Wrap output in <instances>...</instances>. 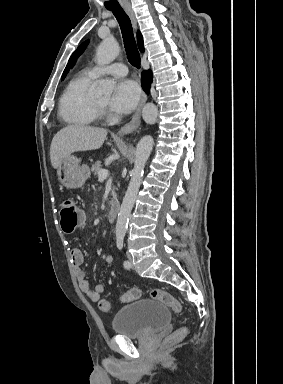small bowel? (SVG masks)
Returning a JSON list of instances; mask_svg holds the SVG:
<instances>
[{
	"label": "small bowel",
	"mask_w": 283,
	"mask_h": 384,
	"mask_svg": "<svg viewBox=\"0 0 283 384\" xmlns=\"http://www.w3.org/2000/svg\"><path fill=\"white\" fill-rule=\"evenodd\" d=\"M70 260L74 267L75 276L79 285L80 290L85 294L88 300L97 302L100 298L101 293L105 290V284L99 283L94 288L90 287V284L86 278V274L81 268L84 262V256L79 248H73L70 251ZM113 256L108 255L105 258L106 263H113Z\"/></svg>",
	"instance_id": "obj_1"
}]
</instances>
